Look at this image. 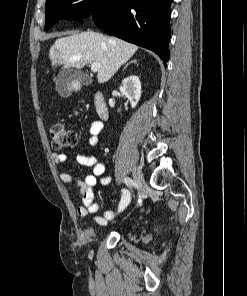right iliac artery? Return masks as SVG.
Masks as SVG:
<instances>
[{"label": "right iliac artery", "instance_id": "1", "mask_svg": "<svg viewBox=\"0 0 247 296\" xmlns=\"http://www.w3.org/2000/svg\"><path fill=\"white\" fill-rule=\"evenodd\" d=\"M124 182L127 186H130V187L135 185V182L130 177H125Z\"/></svg>", "mask_w": 247, "mask_h": 296}]
</instances>
